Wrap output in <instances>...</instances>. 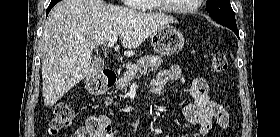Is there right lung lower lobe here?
Here are the masks:
<instances>
[{"label":"right lung lower lobe","instance_id":"obj_1","mask_svg":"<svg viewBox=\"0 0 280 137\" xmlns=\"http://www.w3.org/2000/svg\"><path fill=\"white\" fill-rule=\"evenodd\" d=\"M60 0H51V3L50 5L48 6L47 8V11H46V15H48V13L50 12V10L52 9V7L57 3L59 2Z\"/></svg>","mask_w":280,"mask_h":137}]
</instances>
